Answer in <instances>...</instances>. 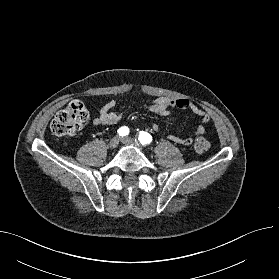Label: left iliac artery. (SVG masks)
<instances>
[{
  "label": "left iliac artery",
  "instance_id": "left-iliac-artery-1",
  "mask_svg": "<svg viewBox=\"0 0 279 279\" xmlns=\"http://www.w3.org/2000/svg\"><path fill=\"white\" fill-rule=\"evenodd\" d=\"M138 140L140 141L141 144L147 145L152 142V136L147 132L141 131L139 133Z\"/></svg>",
  "mask_w": 279,
  "mask_h": 279
}]
</instances>
